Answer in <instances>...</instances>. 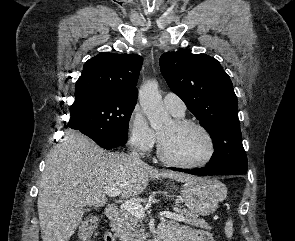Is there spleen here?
<instances>
[{"mask_svg":"<svg viewBox=\"0 0 295 241\" xmlns=\"http://www.w3.org/2000/svg\"><path fill=\"white\" fill-rule=\"evenodd\" d=\"M224 232L227 238H232L233 236V222L231 219H228L226 222Z\"/></svg>","mask_w":295,"mask_h":241,"instance_id":"spleen-1","label":"spleen"}]
</instances>
